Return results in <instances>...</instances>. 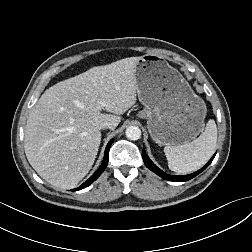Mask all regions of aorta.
<instances>
[{"label":"aorta","instance_id":"aorta-1","mask_svg":"<svg viewBox=\"0 0 252 252\" xmlns=\"http://www.w3.org/2000/svg\"><path fill=\"white\" fill-rule=\"evenodd\" d=\"M125 133H126V137L132 141L138 140L141 137V130L138 126H129L126 129Z\"/></svg>","mask_w":252,"mask_h":252}]
</instances>
